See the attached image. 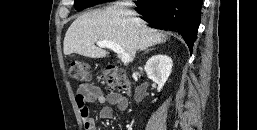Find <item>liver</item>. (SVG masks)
<instances>
[{
    "instance_id": "obj_1",
    "label": "liver",
    "mask_w": 257,
    "mask_h": 130,
    "mask_svg": "<svg viewBox=\"0 0 257 130\" xmlns=\"http://www.w3.org/2000/svg\"><path fill=\"white\" fill-rule=\"evenodd\" d=\"M102 40L117 43L133 60L137 51L164 43L167 36L149 28L134 12L110 7L79 16L65 34L63 51L65 55L105 58L109 52L95 46Z\"/></svg>"
}]
</instances>
